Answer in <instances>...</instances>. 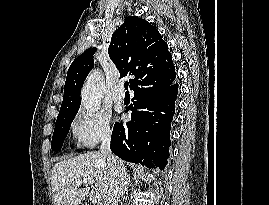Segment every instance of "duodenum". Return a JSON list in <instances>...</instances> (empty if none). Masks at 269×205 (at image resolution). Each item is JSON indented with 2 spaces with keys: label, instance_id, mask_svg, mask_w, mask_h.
I'll use <instances>...</instances> for the list:
<instances>
[{
  "label": "duodenum",
  "instance_id": "obj_1",
  "mask_svg": "<svg viewBox=\"0 0 269 205\" xmlns=\"http://www.w3.org/2000/svg\"><path fill=\"white\" fill-rule=\"evenodd\" d=\"M82 205H89V204L85 203V204H82Z\"/></svg>",
  "mask_w": 269,
  "mask_h": 205
}]
</instances>
